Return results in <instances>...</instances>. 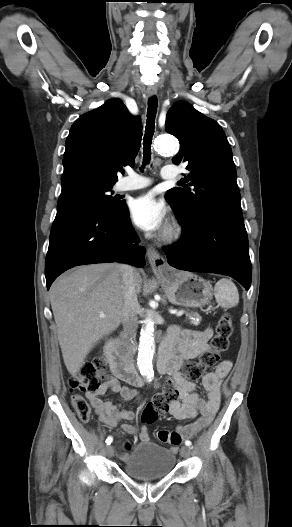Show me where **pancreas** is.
<instances>
[{"mask_svg":"<svg viewBox=\"0 0 292 527\" xmlns=\"http://www.w3.org/2000/svg\"><path fill=\"white\" fill-rule=\"evenodd\" d=\"M186 317H188V320L193 325H199L201 321V316L196 312H187Z\"/></svg>","mask_w":292,"mask_h":527,"instance_id":"pancreas-1","label":"pancreas"}]
</instances>
